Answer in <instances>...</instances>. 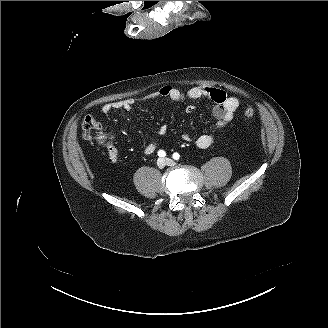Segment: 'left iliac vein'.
<instances>
[{"label":"left iliac vein","instance_id":"4c4485c4","mask_svg":"<svg viewBox=\"0 0 328 328\" xmlns=\"http://www.w3.org/2000/svg\"><path fill=\"white\" fill-rule=\"evenodd\" d=\"M164 161L166 162L167 165L169 166H174L176 165V162H174L173 160L169 159V158H164Z\"/></svg>","mask_w":328,"mask_h":328}]
</instances>
